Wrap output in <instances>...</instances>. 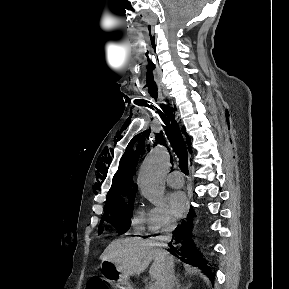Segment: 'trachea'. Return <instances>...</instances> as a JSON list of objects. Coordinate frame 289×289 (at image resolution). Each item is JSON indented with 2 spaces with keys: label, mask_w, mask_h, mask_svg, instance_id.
<instances>
[{
  "label": "trachea",
  "mask_w": 289,
  "mask_h": 289,
  "mask_svg": "<svg viewBox=\"0 0 289 289\" xmlns=\"http://www.w3.org/2000/svg\"><path fill=\"white\" fill-rule=\"evenodd\" d=\"M164 113L158 110V113L164 122L166 135L171 143V146L179 158V167L181 171L188 175V153L183 136L180 132L179 126L172 115V110L170 107H166Z\"/></svg>",
  "instance_id": "trachea-1"
}]
</instances>
